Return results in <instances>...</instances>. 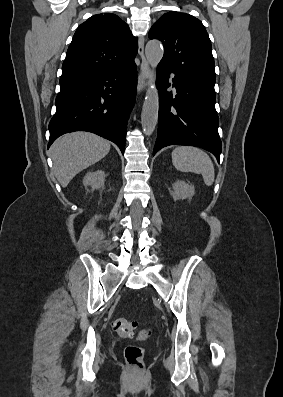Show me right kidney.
<instances>
[{"instance_id": "ca27d5eb", "label": "right kidney", "mask_w": 283, "mask_h": 397, "mask_svg": "<svg viewBox=\"0 0 283 397\" xmlns=\"http://www.w3.org/2000/svg\"><path fill=\"white\" fill-rule=\"evenodd\" d=\"M105 177V172L102 170L88 172L83 179V185L85 187L90 186L92 190L103 188Z\"/></svg>"}]
</instances>
